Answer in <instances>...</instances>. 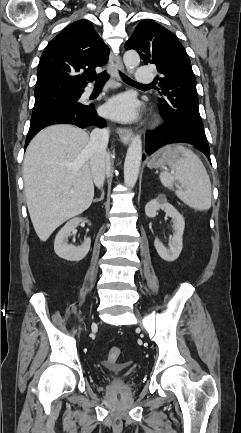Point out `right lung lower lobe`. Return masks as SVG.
<instances>
[{
	"instance_id": "obj_1",
	"label": "right lung lower lobe",
	"mask_w": 241,
	"mask_h": 433,
	"mask_svg": "<svg viewBox=\"0 0 241 433\" xmlns=\"http://www.w3.org/2000/svg\"><path fill=\"white\" fill-rule=\"evenodd\" d=\"M78 92L82 93L83 91ZM59 123L73 124L80 128L90 125H97L98 127L106 125L105 120L98 117L93 104L83 105L78 103L57 107L31 119L25 148L41 129Z\"/></svg>"
}]
</instances>
